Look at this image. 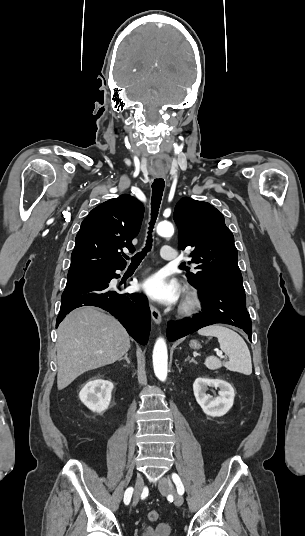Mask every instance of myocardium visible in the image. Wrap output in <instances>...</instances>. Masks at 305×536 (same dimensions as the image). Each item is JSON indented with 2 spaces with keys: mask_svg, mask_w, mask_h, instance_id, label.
<instances>
[{
  "mask_svg": "<svg viewBox=\"0 0 305 536\" xmlns=\"http://www.w3.org/2000/svg\"><path fill=\"white\" fill-rule=\"evenodd\" d=\"M203 305V297L198 290L188 289L180 306V313L190 315L199 310Z\"/></svg>",
  "mask_w": 305,
  "mask_h": 536,
  "instance_id": "obj_1",
  "label": "myocardium"
}]
</instances>
